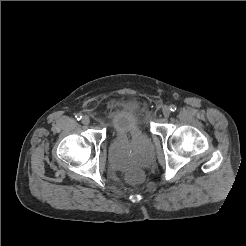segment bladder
<instances>
[{"label": "bladder", "instance_id": "obj_1", "mask_svg": "<svg viewBox=\"0 0 246 246\" xmlns=\"http://www.w3.org/2000/svg\"><path fill=\"white\" fill-rule=\"evenodd\" d=\"M112 130L115 138L126 136L146 135V125L142 114L132 108H125L114 114L112 118ZM153 159V149L148 148L132 155H122L117 152L110 154V161L118 169H128L132 166H145Z\"/></svg>", "mask_w": 246, "mask_h": 246}]
</instances>
